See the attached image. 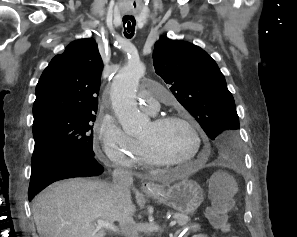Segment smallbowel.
Returning a JSON list of instances; mask_svg holds the SVG:
<instances>
[{
    "label": "small bowel",
    "mask_w": 297,
    "mask_h": 237,
    "mask_svg": "<svg viewBox=\"0 0 297 237\" xmlns=\"http://www.w3.org/2000/svg\"><path fill=\"white\" fill-rule=\"evenodd\" d=\"M200 227L197 224H193L189 229L180 230L176 235L178 237H187L189 231L195 232L192 237H207V235L199 232ZM234 237V236H232Z\"/></svg>",
    "instance_id": "1"
}]
</instances>
